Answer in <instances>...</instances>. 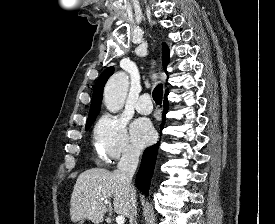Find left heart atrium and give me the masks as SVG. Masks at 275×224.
<instances>
[{"label": "left heart atrium", "mask_w": 275, "mask_h": 224, "mask_svg": "<svg viewBox=\"0 0 275 224\" xmlns=\"http://www.w3.org/2000/svg\"><path fill=\"white\" fill-rule=\"evenodd\" d=\"M131 136L138 147H144L152 142L154 130L147 120L139 118L132 123Z\"/></svg>", "instance_id": "obj_1"}]
</instances>
